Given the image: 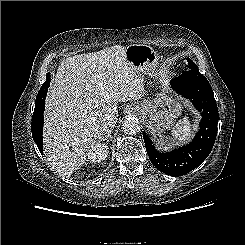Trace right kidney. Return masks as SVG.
I'll return each mask as SVG.
<instances>
[{
  "label": "right kidney",
  "instance_id": "1",
  "mask_svg": "<svg viewBox=\"0 0 245 245\" xmlns=\"http://www.w3.org/2000/svg\"><path fill=\"white\" fill-rule=\"evenodd\" d=\"M108 146L105 144L97 143L93 146L88 153V159L93 163H100L104 161L108 154Z\"/></svg>",
  "mask_w": 245,
  "mask_h": 245
}]
</instances>
